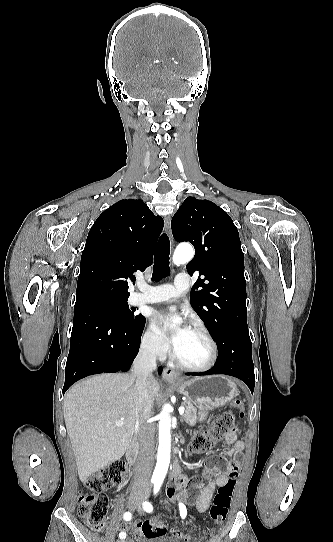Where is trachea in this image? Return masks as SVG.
Masks as SVG:
<instances>
[{
	"mask_svg": "<svg viewBox=\"0 0 333 542\" xmlns=\"http://www.w3.org/2000/svg\"><path fill=\"white\" fill-rule=\"evenodd\" d=\"M169 254H170V241L168 236L164 233L158 240L155 254H154V266L152 273V280L158 281L162 277L169 274Z\"/></svg>",
	"mask_w": 333,
	"mask_h": 542,
	"instance_id": "obj_1",
	"label": "trachea"
}]
</instances>
